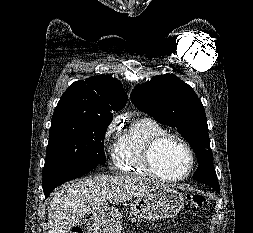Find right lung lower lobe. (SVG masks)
<instances>
[{
    "instance_id": "98d812e1",
    "label": "right lung lower lobe",
    "mask_w": 253,
    "mask_h": 233,
    "mask_svg": "<svg viewBox=\"0 0 253 233\" xmlns=\"http://www.w3.org/2000/svg\"><path fill=\"white\" fill-rule=\"evenodd\" d=\"M95 167L96 166L89 165H67L56 167L43 173L42 186L45 197L47 198L50 195V192L57 186L69 180L78 178Z\"/></svg>"
}]
</instances>
